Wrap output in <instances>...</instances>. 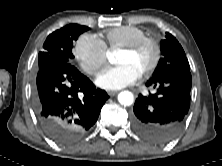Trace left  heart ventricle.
Wrapping results in <instances>:
<instances>
[{
	"label": "left heart ventricle",
	"instance_id": "1",
	"mask_svg": "<svg viewBox=\"0 0 222 166\" xmlns=\"http://www.w3.org/2000/svg\"><path fill=\"white\" fill-rule=\"evenodd\" d=\"M152 58L153 48L146 44L135 52L120 51L117 62L130 64L142 73L150 65Z\"/></svg>",
	"mask_w": 222,
	"mask_h": 166
}]
</instances>
